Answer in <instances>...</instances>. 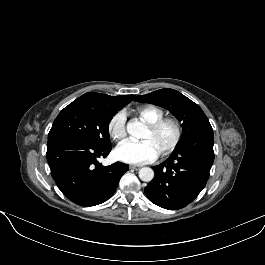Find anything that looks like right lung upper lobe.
<instances>
[{
	"instance_id": "1",
	"label": "right lung upper lobe",
	"mask_w": 265,
	"mask_h": 265,
	"mask_svg": "<svg viewBox=\"0 0 265 265\" xmlns=\"http://www.w3.org/2000/svg\"><path fill=\"white\" fill-rule=\"evenodd\" d=\"M134 95L109 96L101 93L88 92L74 102H82L107 112H118L126 104L130 103Z\"/></svg>"
}]
</instances>
